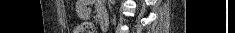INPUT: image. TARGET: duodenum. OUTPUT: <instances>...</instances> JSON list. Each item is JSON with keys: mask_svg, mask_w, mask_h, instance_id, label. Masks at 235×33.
<instances>
[{"mask_svg": "<svg viewBox=\"0 0 235 33\" xmlns=\"http://www.w3.org/2000/svg\"><path fill=\"white\" fill-rule=\"evenodd\" d=\"M99 20H100L101 28L105 30L108 26V18L106 16V14H101L99 16Z\"/></svg>", "mask_w": 235, "mask_h": 33, "instance_id": "duodenum-1", "label": "duodenum"}]
</instances>
